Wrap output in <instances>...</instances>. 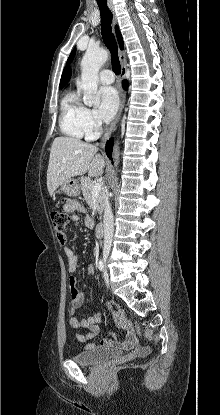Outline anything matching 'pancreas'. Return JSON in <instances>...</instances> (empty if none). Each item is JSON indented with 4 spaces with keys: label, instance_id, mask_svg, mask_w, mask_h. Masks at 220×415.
<instances>
[{
    "label": "pancreas",
    "instance_id": "pancreas-1",
    "mask_svg": "<svg viewBox=\"0 0 220 415\" xmlns=\"http://www.w3.org/2000/svg\"><path fill=\"white\" fill-rule=\"evenodd\" d=\"M95 181L91 180L89 177H82L81 178V190L85 200L91 204L93 201L92 197V188L94 186ZM107 203V193L104 188L101 189L99 194L96 197V209L99 213L103 212V209Z\"/></svg>",
    "mask_w": 220,
    "mask_h": 415
}]
</instances>
